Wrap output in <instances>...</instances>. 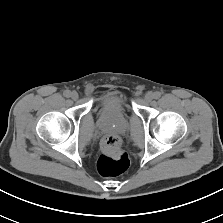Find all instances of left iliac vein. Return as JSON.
Masks as SVG:
<instances>
[{
    "label": "left iliac vein",
    "instance_id": "obj_1",
    "mask_svg": "<svg viewBox=\"0 0 223 223\" xmlns=\"http://www.w3.org/2000/svg\"><path fill=\"white\" fill-rule=\"evenodd\" d=\"M153 98H154V94L152 92H147L144 96V100L146 102L152 101Z\"/></svg>",
    "mask_w": 223,
    "mask_h": 223
}]
</instances>
